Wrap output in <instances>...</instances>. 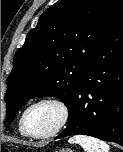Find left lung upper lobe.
Wrapping results in <instances>:
<instances>
[{"instance_id":"obj_1","label":"left lung upper lobe","mask_w":123,"mask_h":152,"mask_svg":"<svg viewBox=\"0 0 123 152\" xmlns=\"http://www.w3.org/2000/svg\"><path fill=\"white\" fill-rule=\"evenodd\" d=\"M121 0H59L39 18L16 52L7 79V122L31 98L55 96L67 106L85 64L100 44Z\"/></svg>"}]
</instances>
